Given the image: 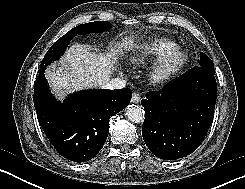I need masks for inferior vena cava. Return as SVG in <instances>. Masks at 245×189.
I'll return each mask as SVG.
<instances>
[{"label": "inferior vena cava", "instance_id": "1", "mask_svg": "<svg viewBox=\"0 0 245 189\" xmlns=\"http://www.w3.org/2000/svg\"><path fill=\"white\" fill-rule=\"evenodd\" d=\"M126 86V81L121 78H114L104 85L105 89H122Z\"/></svg>", "mask_w": 245, "mask_h": 189}]
</instances>
